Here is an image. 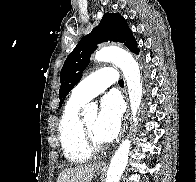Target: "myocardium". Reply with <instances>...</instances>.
I'll return each instance as SVG.
<instances>
[{"instance_id":"obj_1","label":"myocardium","mask_w":196,"mask_h":182,"mask_svg":"<svg viewBox=\"0 0 196 182\" xmlns=\"http://www.w3.org/2000/svg\"><path fill=\"white\" fill-rule=\"evenodd\" d=\"M81 126V135H82V140L84 142V145L91 151V152H96L101 150L104 147V143L102 141H97L87 128L85 124V120L81 119L80 122Z\"/></svg>"}]
</instances>
